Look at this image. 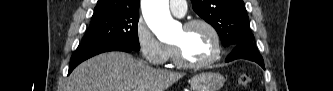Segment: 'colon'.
Listing matches in <instances>:
<instances>
[{"label": "colon", "instance_id": "obj_1", "mask_svg": "<svg viewBox=\"0 0 333 91\" xmlns=\"http://www.w3.org/2000/svg\"><path fill=\"white\" fill-rule=\"evenodd\" d=\"M251 77L248 74H242L238 78V83L242 87H248L251 84Z\"/></svg>", "mask_w": 333, "mask_h": 91}]
</instances>
